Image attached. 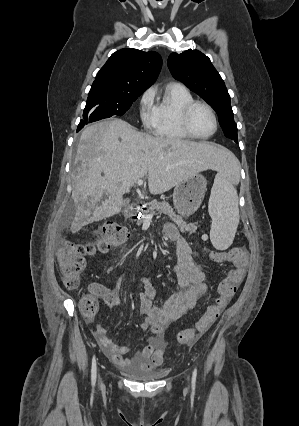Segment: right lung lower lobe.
I'll list each match as a JSON object with an SVG mask.
<instances>
[{
	"instance_id": "obj_1",
	"label": "right lung lower lobe",
	"mask_w": 299,
	"mask_h": 426,
	"mask_svg": "<svg viewBox=\"0 0 299 426\" xmlns=\"http://www.w3.org/2000/svg\"><path fill=\"white\" fill-rule=\"evenodd\" d=\"M83 126H84V125H79V126H78V131H79L81 128H83Z\"/></svg>"
}]
</instances>
